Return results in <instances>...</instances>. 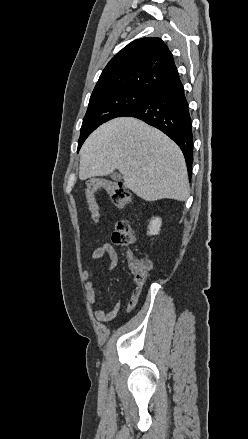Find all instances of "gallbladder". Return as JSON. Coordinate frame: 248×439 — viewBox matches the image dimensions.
I'll use <instances>...</instances> for the list:
<instances>
[{
	"label": "gallbladder",
	"instance_id": "gallbladder-1",
	"mask_svg": "<svg viewBox=\"0 0 248 439\" xmlns=\"http://www.w3.org/2000/svg\"><path fill=\"white\" fill-rule=\"evenodd\" d=\"M110 177H111L113 180H115V181H119V180H121V178H122L121 174L118 173V172H114V173H112Z\"/></svg>",
	"mask_w": 248,
	"mask_h": 439
}]
</instances>
